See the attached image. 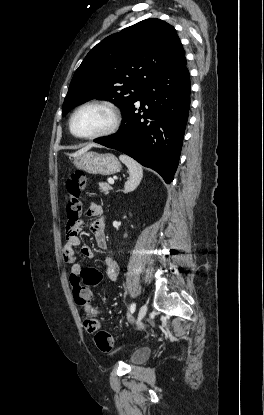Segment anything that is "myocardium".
Here are the masks:
<instances>
[{"mask_svg":"<svg viewBox=\"0 0 264 415\" xmlns=\"http://www.w3.org/2000/svg\"><path fill=\"white\" fill-rule=\"evenodd\" d=\"M87 107H100V108L107 110L111 114V118H112L110 126L106 128L105 130L92 134V135H80L76 133V131L74 130V119L76 115L82 109L87 108ZM120 125H121V113L119 109L114 104L107 102V101H90V102H86L80 105L73 112V114L70 117V121H69V128H70L71 133L74 136L81 138V139H85V140H93V139L110 136L119 129Z\"/></svg>","mask_w":264,"mask_h":415,"instance_id":"f54148a6","label":"myocardium"}]
</instances>
